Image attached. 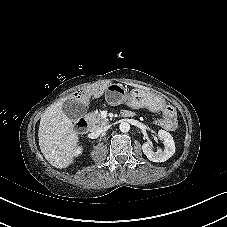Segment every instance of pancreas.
Segmentation results:
<instances>
[{
  "instance_id": "obj_1",
  "label": "pancreas",
  "mask_w": 227,
  "mask_h": 227,
  "mask_svg": "<svg viewBox=\"0 0 227 227\" xmlns=\"http://www.w3.org/2000/svg\"><path fill=\"white\" fill-rule=\"evenodd\" d=\"M87 117L90 120L93 128L103 127L109 123L108 119L101 118L100 114L97 112H91Z\"/></svg>"
}]
</instances>
